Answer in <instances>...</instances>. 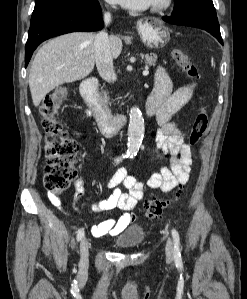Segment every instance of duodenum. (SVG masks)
<instances>
[{"mask_svg":"<svg viewBox=\"0 0 247 299\" xmlns=\"http://www.w3.org/2000/svg\"><path fill=\"white\" fill-rule=\"evenodd\" d=\"M97 87L98 81L95 78L86 79L80 86V93L91 109L101 132L111 136L125 126L127 117L124 114L112 113L107 103L98 94ZM144 111L147 117H152L156 114V107L147 101Z\"/></svg>","mask_w":247,"mask_h":299,"instance_id":"1","label":"duodenum"}]
</instances>
